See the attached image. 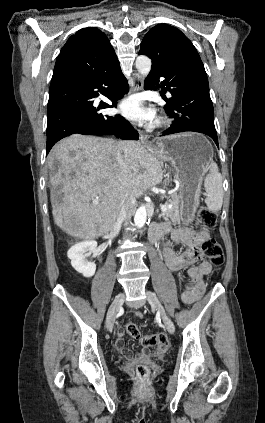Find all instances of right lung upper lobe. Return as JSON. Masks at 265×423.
Wrapping results in <instances>:
<instances>
[{
    "instance_id": "obj_1",
    "label": "right lung upper lobe",
    "mask_w": 265,
    "mask_h": 423,
    "mask_svg": "<svg viewBox=\"0 0 265 423\" xmlns=\"http://www.w3.org/2000/svg\"><path fill=\"white\" fill-rule=\"evenodd\" d=\"M108 38L97 28L72 35L56 60L51 83L89 73H104L119 67Z\"/></svg>"
}]
</instances>
